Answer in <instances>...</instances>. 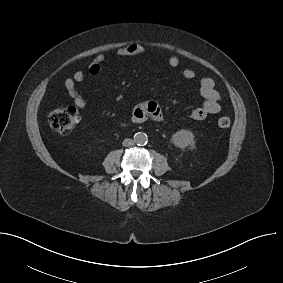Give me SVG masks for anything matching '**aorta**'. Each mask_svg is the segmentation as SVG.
<instances>
[{"instance_id":"762f6f07","label":"aorta","mask_w":283,"mask_h":283,"mask_svg":"<svg viewBox=\"0 0 283 283\" xmlns=\"http://www.w3.org/2000/svg\"><path fill=\"white\" fill-rule=\"evenodd\" d=\"M134 142L137 144V145H144L147 143L148 141V138H147V135L143 132H138L134 135Z\"/></svg>"}]
</instances>
